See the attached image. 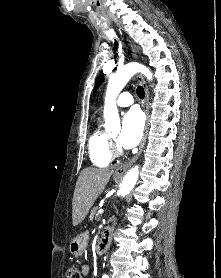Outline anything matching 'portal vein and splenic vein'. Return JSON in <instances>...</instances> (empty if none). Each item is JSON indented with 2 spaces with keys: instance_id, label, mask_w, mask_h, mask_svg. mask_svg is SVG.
<instances>
[{
  "instance_id": "portal-vein-and-splenic-vein-1",
  "label": "portal vein and splenic vein",
  "mask_w": 221,
  "mask_h": 278,
  "mask_svg": "<svg viewBox=\"0 0 221 278\" xmlns=\"http://www.w3.org/2000/svg\"><path fill=\"white\" fill-rule=\"evenodd\" d=\"M104 213V210L103 209H99L98 210V214H103Z\"/></svg>"
}]
</instances>
